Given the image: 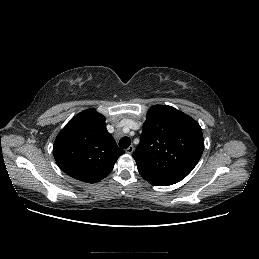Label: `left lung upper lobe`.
Wrapping results in <instances>:
<instances>
[{
	"label": "left lung upper lobe",
	"mask_w": 259,
	"mask_h": 259,
	"mask_svg": "<svg viewBox=\"0 0 259 259\" xmlns=\"http://www.w3.org/2000/svg\"><path fill=\"white\" fill-rule=\"evenodd\" d=\"M204 150L200 125L167 105L152 106L133 153L137 168L179 182L197 165Z\"/></svg>",
	"instance_id": "obj_1"
}]
</instances>
